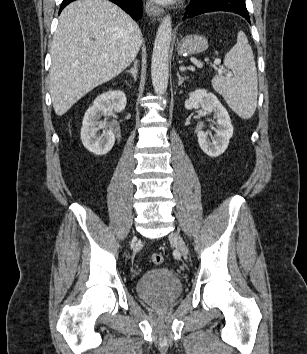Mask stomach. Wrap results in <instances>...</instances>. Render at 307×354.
I'll list each match as a JSON object with an SVG mask.
<instances>
[{
	"label": "stomach",
	"instance_id": "0dacf381",
	"mask_svg": "<svg viewBox=\"0 0 307 354\" xmlns=\"http://www.w3.org/2000/svg\"><path fill=\"white\" fill-rule=\"evenodd\" d=\"M208 48V41L204 36L190 34L181 39L177 45L180 55H192L204 52Z\"/></svg>",
	"mask_w": 307,
	"mask_h": 354
}]
</instances>
